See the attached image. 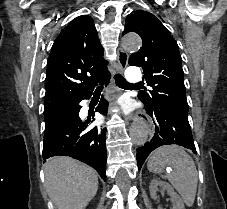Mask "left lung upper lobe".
Listing matches in <instances>:
<instances>
[{
  "instance_id": "1",
  "label": "left lung upper lobe",
  "mask_w": 227,
  "mask_h": 209,
  "mask_svg": "<svg viewBox=\"0 0 227 209\" xmlns=\"http://www.w3.org/2000/svg\"><path fill=\"white\" fill-rule=\"evenodd\" d=\"M135 32L142 47L129 58V65L143 68L144 79L152 89L138 98L145 107L166 104L188 115L182 59L177 42L164 25L151 13L137 10L126 18L123 34Z\"/></svg>"
}]
</instances>
